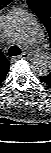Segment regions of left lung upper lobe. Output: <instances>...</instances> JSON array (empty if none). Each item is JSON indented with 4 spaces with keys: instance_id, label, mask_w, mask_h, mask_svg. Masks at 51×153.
Here are the masks:
<instances>
[{
    "instance_id": "obj_1",
    "label": "left lung upper lobe",
    "mask_w": 51,
    "mask_h": 153,
    "mask_svg": "<svg viewBox=\"0 0 51 153\" xmlns=\"http://www.w3.org/2000/svg\"><path fill=\"white\" fill-rule=\"evenodd\" d=\"M27 3L44 24L51 39V0H27ZM47 76L51 78V73Z\"/></svg>"
}]
</instances>
